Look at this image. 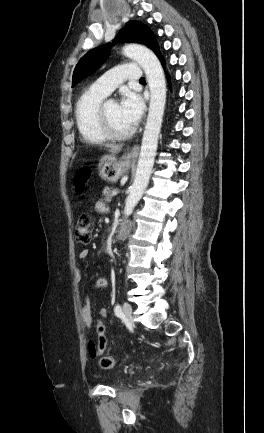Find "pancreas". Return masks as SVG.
I'll return each instance as SVG.
<instances>
[{
	"instance_id": "pancreas-1",
	"label": "pancreas",
	"mask_w": 264,
	"mask_h": 433,
	"mask_svg": "<svg viewBox=\"0 0 264 433\" xmlns=\"http://www.w3.org/2000/svg\"><path fill=\"white\" fill-rule=\"evenodd\" d=\"M113 189L110 187H105L103 190L104 200L106 202H111L114 195H112Z\"/></svg>"
}]
</instances>
